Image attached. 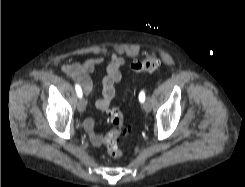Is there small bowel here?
<instances>
[{
	"instance_id": "obj_1",
	"label": "small bowel",
	"mask_w": 245,
	"mask_h": 187,
	"mask_svg": "<svg viewBox=\"0 0 245 187\" xmlns=\"http://www.w3.org/2000/svg\"><path fill=\"white\" fill-rule=\"evenodd\" d=\"M126 62L123 56L113 53L108 60L101 56L93 57L84 62L63 64L61 69L68 77L78 82L86 94H89L92 90L90 74L98 67L104 66L105 74L102 78V94L96 101V107L100 110H106L117 95L115 85L123 80L121 68L126 65ZM84 127L88 132L91 143L94 146H101L104 138L95 130L94 118L86 119Z\"/></svg>"
}]
</instances>
